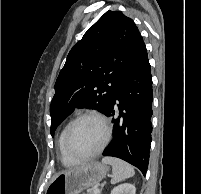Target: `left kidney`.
<instances>
[{"label":"left kidney","instance_id":"left-kidney-1","mask_svg":"<svg viewBox=\"0 0 201 194\" xmlns=\"http://www.w3.org/2000/svg\"><path fill=\"white\" fill-rule=\"evenodd\" d=\"M136 188L129 183H123L115 187L110 194H135Z\"/></svg>","mask_w":201,"mask_h":194}]
</instances>
